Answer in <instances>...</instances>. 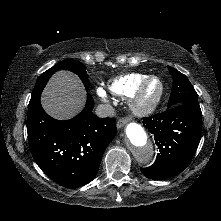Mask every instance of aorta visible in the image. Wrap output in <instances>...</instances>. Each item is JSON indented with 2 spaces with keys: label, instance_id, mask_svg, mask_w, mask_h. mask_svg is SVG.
I'll return each instance as SVG.
<instances>
[{
  "label": "aorta",
  "instance_id": "1",
  "mask_svg": "<svg viewBox=\"0 0 221 221\" xmlns=\"http://www.w3.org/2000/svg\"><path fill=\"white\" fill-rule=\"evenodd\" d=\"M126 142L140 163H149L153 157V145L148 139L144 128L135 122L126 127Z\"/></svg>",
  "mask_w": 221,
  "mask_h": 221
}]
</instances>
